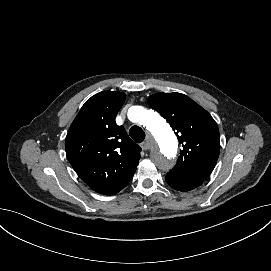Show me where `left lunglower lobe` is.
<instances>
[{
  "label": "left lung lower lobe",
  "mask_w": 271,
  "mask_h": 271,
  "mask_svg": "<svg viewBox=\"0 0 271 271\" xmlns=\"http://www.w3.org/2000/svg\"><path fill=\"white\" fill-rule=\"evenodd\" d=\"M165 180L170 187L182 192L191 191L202 185L204 182L202 180L173 175L169 172L166 174Z\"/></svg>",
  "instance_id": "0a47b994"
}]
</instances>
